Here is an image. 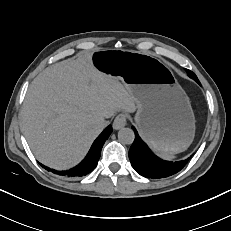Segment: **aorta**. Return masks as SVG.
Instances as JSON below:
<instances>
[{
  "label": "aorta",
  "instance_id": "aorta-1",
  "mask_svg": "<svg viewBox=\"0 0 231 231\" xmlns=\"http://www.w3.org/2000/svg\"><path fill=\"white\" fill-rule=\"evenodd\" d=\"M118 139L122 144H132L135 139L134 131L130 128H121L118 132Z\"/></svg>",
  "mask_w": 231,
  "mask_h": 231
}]
</instances>
